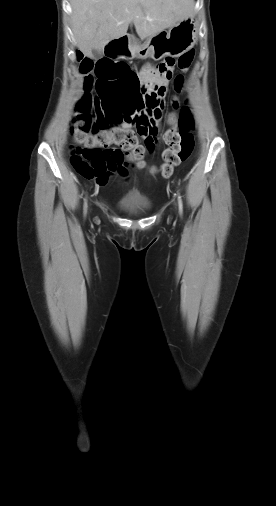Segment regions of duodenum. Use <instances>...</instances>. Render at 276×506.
I'll use <instances>...</instances> for the list:
<instances>
[{"label": "duodenum", "mask_w": 276, "mask_h": 506, "mask_svg": "<svg viewBox=\"0 0 276 506\" xmlns=\"http://www.w3.org/2000/svg\"><path fill=\"white\" fill-rule=\"evenodd\" d=\"M134 50L130 45H127V36L120 35L112 39L108 45L104 47L102 56L104 58H133Z\"/></svg>", "instance_id": "obj_1"}]
</instances>
